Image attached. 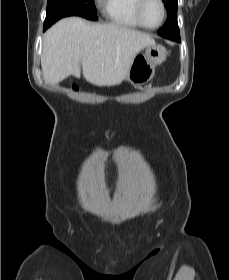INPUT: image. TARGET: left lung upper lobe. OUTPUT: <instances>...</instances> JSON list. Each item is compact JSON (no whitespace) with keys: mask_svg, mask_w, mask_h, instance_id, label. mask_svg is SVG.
Returning a JSON list of instances; mask_svg holds the SVG:
<instances>
[{"mask_svg":"<svg viewBox=\"0 0 229 280\" xmlns=\"http://www.w3.org/2000/svg\"><path fill=\"white\" fill-rule=\"evenodd\" d=\"M163 2L167 9V21L158 31V34L168 39L180 38L177 23L178 0H163Z\"/></svg>","mask_w":229,"mask_h":280,"instance_id":"1","label":"left lung upper lobe"}]
</instances>
